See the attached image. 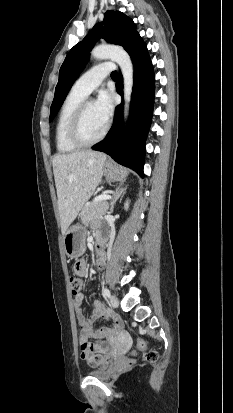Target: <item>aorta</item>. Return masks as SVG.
<instances>
[{
    "label": "aorta",
    "mask_w": 233,
    "mask_h": 413,
    "mask_svg": "<svg viewBox=\"0 0 233 413\" xmlns=\"http://www.w3.org/2000/svg\"><path fill=\"white\" fill-rule=\"evenodd\" d=\"M91 56L95 59H111L116 62L122 71L124 85V122L129 117V108L133 88V64L128 53L121 47L113 45H100L94 47Z\"/></svg>",
    "instance_id": "aorta-1"
}]
</instances>
